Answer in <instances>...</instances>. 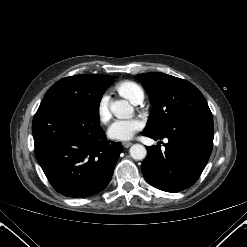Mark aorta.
Returning a JSON list of instances; mask_svg holds the SVG:
<instances>
[{
  "label": "aorta",
  "mask_w": 247,
  "mask_h": 247,
  "mask_svg": "<svg viewBox=\"0 0 247 247\" xmlns=\"http://www.w3.org/2000/svg\"><path fill=\"white\" fill-rule=\"evenodd\" d=\"M111 112L117 118H130L133 114V107L126 100H116L110 105ZM146 148L141 144H134L130 148V156L134 160H142L146 157Z\"/></svg>",
  "instance_id": "aorta-1"
}]
</instances>
